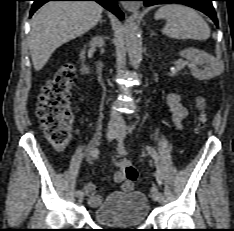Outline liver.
<instances>
[{
    "label": "liver",
    "instance_id": "obj_1",
    "mask_svg": "<svg viewBox=\"0 0 234 231\" xmlns=\"http://www.w3.org/2000/svg\"><path fill=\"white\" fill-rule=\"evenodd\" d=\"M103 8L96 2H48L31 19L29 49L36 71L41 70L61 45L96 26Z\"/></svg>",
    "mask_w": 234,
    "mask_h": 231
}]
</instances>
